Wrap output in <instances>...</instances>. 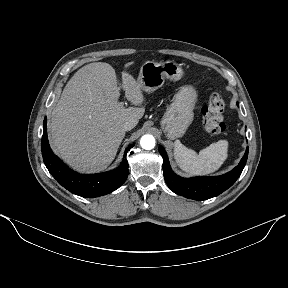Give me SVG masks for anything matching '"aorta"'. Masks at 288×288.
Listing matches in <instances>:
<instances>
[{
    "instance_id": "aorta-1",
    "label": "aorta",
    "mask_w": 288,
    "mask_h": 288,
    "mask_svg": "<svg viewBox=\"0 0 288 288\" xmlns=\"http://www.w3.org/2000/svg\"><path fill=\"white\" fill-rule=\"evenodd\" d=\"M140 145L145 150H151L155 147V138L152 135H144L140 139Z\"/></svg>"
}]
</instances>
